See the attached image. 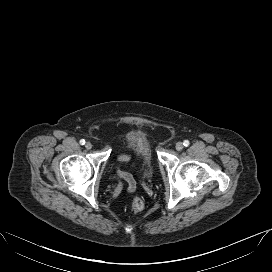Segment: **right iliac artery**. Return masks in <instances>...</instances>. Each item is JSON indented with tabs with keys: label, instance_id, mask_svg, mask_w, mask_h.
Wrapping results in <instances>:
<instances>
[{
	"label": "right iliac artery",
	"instance_id": "right-iliac-artery-1",
	"mask_svg": "<svg viewBox=\"0 0 272 272\" xmlns=\"http://www.w3.org/2000/svg\"><path fill=\"white\" fill-rule=\"evenodd\" d=\"M79 143H80L81 145H84V144H85V140H84V139H81Z\"/></svg>",
	"mask_w": 272,
	"mask_h": 272
}]
</instances>
